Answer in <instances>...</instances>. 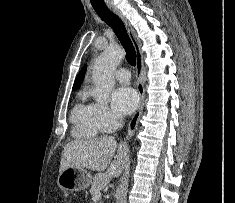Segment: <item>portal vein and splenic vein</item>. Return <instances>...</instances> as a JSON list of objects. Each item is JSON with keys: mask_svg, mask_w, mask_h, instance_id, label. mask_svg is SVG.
Masks as SVG:
<instances>
[{"mask_svg": "<svg viewBox=\"0 0 235 203\" xmlns=\"http://www.w3.org/2000/svg\"><path fill=\"white\" fill-rule=\"evenodd\" d=\"M99 198H101V193H100V191L98 190V191L95 192L94 199L97 200V199H99Z\"/></svg>", "mask_w": 235, "mask_h": 203, "instance_id": "18ae733b", "label": "portal vein and splenic vein"}]
</instances>
